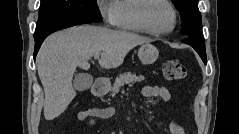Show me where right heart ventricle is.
I'll list each match as a JSON object with an SVG mask.
<instances>
[{
  "label": "right heart ventricle",
  "instance_id": "obj_1",
  "mask_svg": "<svg viewBox=\"0 0 239 134\" xmlns=\"http://www.w3.org/2000/svg\"><path fill=\"white\" fill-rule=\"evenodd\" d=\"M142 0H119L117 3L116 27L129 32L142 33L138 23L137 10Z\"/></svg>",
  "mask_w": 239,
  "mask_h": 134
}]
</instances>
